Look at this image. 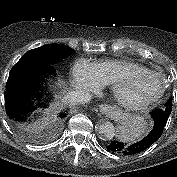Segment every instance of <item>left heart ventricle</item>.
Returning a JSON list of instances; mask_svg holds the SVG:
<instances>
[{
    "label": "left heart ventricle",
    "mask_w": 177,
    "mask_h": 177,
    "mask_svg": "<svg viewBox=\"0 0 177 177\" xmlns=\"http://www.w3.org/2000/svg\"><path fill=\"white\" fill-rule=\"evenodd\" d=\"M161 89V83L157 78L142 76L129 78L122 89L123 97L128 101H139L155 96Z\"/></svg>",
    "instance_id": "obj_1"
}]
</instances>
